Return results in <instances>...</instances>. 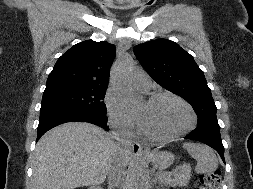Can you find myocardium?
<instances>
[{
	"label": "myocardium",
	"instance_id": "myocardium-1",
	"mask_svg": "<svg viewBox=\"0 0 253 189\" xmlns=\"http://www.w3.org/2000/svg\"><path fill=\"white\" fill-rule=\"evenodd\" d=\"M172 99L178 103H180L181 105H183L189 115H190V121L189 123L184 127L182 128L181 130L171 134V135H168V136H155V135H152V134H149L148 132L144 131L140 125H139V131L140 133L145 136L146 138L150 139V140H153V141H157V142H167V141H171V140H174L176 138H179L185 134H187L188 132H190L191 130H193L196 126V123H197V116H196V113L194 111V109L192 108V106L186 101L184 100L182 97L176 95V94H173V93H170V92H159V93H155L153 95H151L148 99V103H154L160 99Z\"/></svg>",
	"mask_w": 253,
	"mask_h": 189
}]
</instances>
